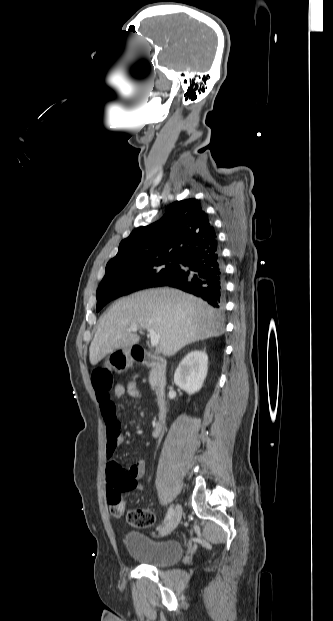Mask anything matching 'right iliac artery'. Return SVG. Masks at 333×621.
<instances>
[{
  "label": "right iliac artery",
  "mask_w": 333,
  "mask_h": 621,
  "mask_svg": "<svg viewBox=\"0 0 333 621\" xmlns=\"http://www.w3.org/2000/svg\"><path fill=\"white\" fill-rule=\"evenodd\" d=\"M173 513H174V510H173V508H172V507H170V508L168 509V511H167L166 518H165L164 522H165V521H168V520L172 517Z\"/></svg>",
  "instance_id": "1"
}]
</instances>
